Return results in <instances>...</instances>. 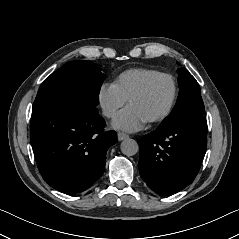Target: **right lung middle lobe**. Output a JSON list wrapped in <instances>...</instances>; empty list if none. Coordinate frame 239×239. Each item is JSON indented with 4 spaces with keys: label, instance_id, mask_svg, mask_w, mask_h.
<instances>
[{
    "label": "right lung middle lobe",
    "instance_id": "right-lung-middle-lobe-1",
    "mask_svg": "<svg viewBox=\"0 0 239 239\" xmlns=\"http://www.w3.org/2000/svg\"><path fill=\"white\" fill-rule=\"evenodd\" d=\"M103 78L97 64L84 60L67 62L39 88L32 116L63 99H78L97 106Z\"/></svg>",
    "mask_w": 239,
    "mask_h": 239
}]
</instances>
